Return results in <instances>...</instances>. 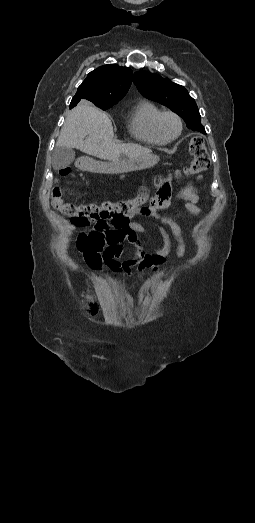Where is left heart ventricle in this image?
<instances>
[{"label":"left heart ventricle","instance_id":"b2bd125f","mask_svg":"<svg viewBox=\"0 0 255 523\" xmlns=\"http://www.w3.org/2000/svg\"><path fill=\"white\" fill-rule=\"evenodd\" d=\"M161 128L167 138L175 136L178 131L177 122L170 116H167L162 120Z\"/></svg>","mask_w":255,"mask_h":523}]
</instances>
